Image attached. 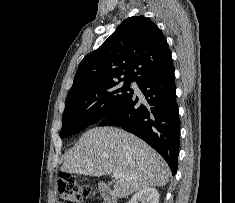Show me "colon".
<instances>
[{"mask_svg":"<svg viewBox=\"0 0 235 203\" xmlns=\"http://www.w3.org/2000/svg\"><path fill=\"white\" fill-rule=\"evenodd\" d=\"M57 203H81L83 197L92 195L89 186L81 187L75 178L69 174H63L57 181Z\"/></svg>","mask_w":235,"mask_h":203,"instance_id":"5ec220e1","label":"colon"}]
</instances>
